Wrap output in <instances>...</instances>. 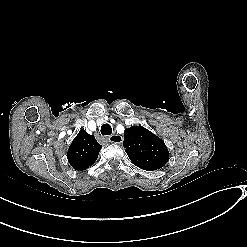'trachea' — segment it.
<instances>
[{
    "instance_id": "trachea-1",
    "label": "trachea",
    "mask_w": 247,
    "mask_h": 247,
    "mask_svg": "<svg viewBox=\"0 0 247 247\" xmlns=\"http://www.w3.org/2000/svg\"><path fill=\"white\" fill-rule=\"evenodd\" d=\"M101 134L102 135H106V136H109L111 133H112V127L110 124H104L102 127H101Z\"/></svg>"
}]
</instances>
